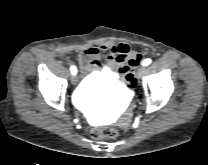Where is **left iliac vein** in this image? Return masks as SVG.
<instances>
[{
    "mask_svg": "<svg viewBox=\"0 0 208 165\" xmlns=\"http://www.w3.org/2000/svg\"><path fill=\"white\" fill-rule=\"evenodd\" d=\"M145 71H146V67L145 66H140L137 70V73H136V77L137 78H142L143 75L145 74Z\"/></svg>",
    "mask_w": 208,
    "mask_h": 165,
    "instance_id": "4c4485c4",
    "label": "left iliac vein"
}]
</instances>
